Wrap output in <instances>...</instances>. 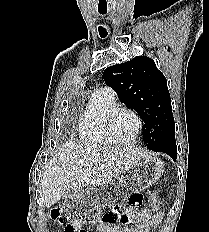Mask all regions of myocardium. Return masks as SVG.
Listing matches in <instances>:
<instances>
[{
	"instance_id": "1",
	"label": "myocardium",
	"mask_w": 209,
	"mask_h": 232,
	"mask_svg": "<svg viewBox=\"0 0 209 232\" xmlns=\"http://www.w3.org/2000/svg\"><path fill=\"white\" fill-rule=\"evenodd\" d=\"M123 112L130 113L134 117V119L137 123V126H136L135 132L133 133V135L130 138H128L126 140H119L113 134L112 125H113L115 118ZM142 124L143 123H142V119H141L140 115L134 109L129 108V107H117L108 113V115L105 119L104 129H105L106 137L111 143L119 144V145H126V144L133 142L136 139L137 135L139 134V132L142 129Z\"/></svg>"
}]
</instances>
